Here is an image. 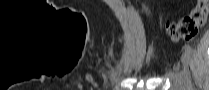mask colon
Returning a JSON list of instances; mask_svg holds the SVG:
<instances>
[{"instance_id": "5ec220e1", "label": "colon", "mask_w": 209, "mask_h": 90, "mask_svg": "<svg viewBox=\"0 0 209 90\" xmlns=\"http://www.w3.org/2000/svg\"><path fill=\"white\" fill-rule=\"evenodd\" d=\"M209 14V0H199L189 14L177 22H166L165 30L172 41L189 40L203 26Z\"/></svg>"}]
</instances>
